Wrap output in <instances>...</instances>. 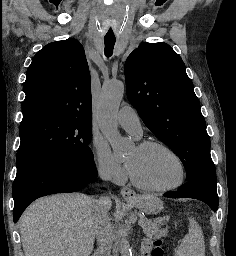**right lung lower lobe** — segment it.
Here are the masks:
<instances>
[{
  "label": "right lung lower lobe",
  "mask_w": 236,
  "mask_h": 256,
  "mask_svg": "<svg viewBox=\"0 0 236 256\" xmlns=\"http://www.w3.org/2000/svg\"><path fill=\"white\" fill-rule=\"evenodd\" d=\"M96 177L94 161L78 159L44 160L17 171L13 183L14 223L35 199L54 193L79 191Z\"/></svg>",
  "instance_id": "1"
}]
</instances>
